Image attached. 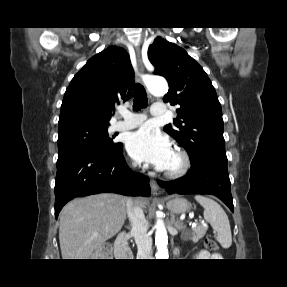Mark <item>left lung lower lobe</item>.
<instances>
[{"instance_id":"0a47b994","label":"left lung lower lobe","mask_w":287,"mask_h":287,"mask_svg":"<svg viewBox=\"0 0 287 287\" xmlns=\"http://www.w3.org/2000/svg\"><path fill=\"white\" fill-rule=\"evenodd\" d=\"M158 184L169 194H211L221 199L231 211L233 201L230 190L228 170L205 167L198 171L189 170L188 173L174 181Z\"/></svg>"}]
</instances>
